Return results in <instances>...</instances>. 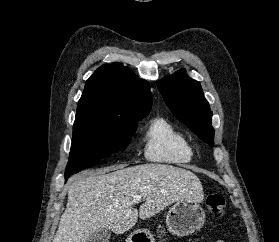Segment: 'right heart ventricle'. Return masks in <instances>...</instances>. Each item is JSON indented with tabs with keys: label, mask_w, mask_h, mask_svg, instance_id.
Wrapping results in <instances>:
<instances>
[{
	"label": "right heart ventricle",
	"mask_w": 279,
	"mask_h": 242,
	"mask_svg": "<svg viewBox=\"0 0 279 242\" xmlns=\"http://www.w3.org/2000/svg\"><path fill=\"white\" fill-rule=\"evenodd\" d=\"M143 142L144 155L152 162L182 165L194 157L186 136L164 117H155L149 122Z\"/></svg>",
	"instance_id": "e07e8e85"
}]
</instances>
